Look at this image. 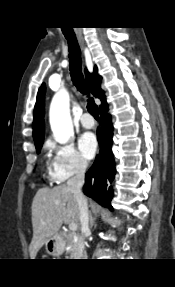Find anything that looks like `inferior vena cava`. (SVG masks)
Wrapping results in <instances>:
<instances>
[{"mask_svg": "<svg viewBox=\"0 0 175 287\" xmlns=\"http://www.w3.org/2000/svg\"><path fill=\"white\" fill-rule=\"evenodd\" d=\"M87 164L84 161H80L77 165L75 176L67 181V187L71 190L74 195L75 200L77 201L79 208V219L81 223V232L84 235L89 234V216H88V205L87 200L82 193V186L85 179V171Z\"/></svg>", "mask_w": 175, "mask_h": 287, "instance_id": "inferior-vena-cava-1", "label": "inferior vena cava"}]
</instances>
